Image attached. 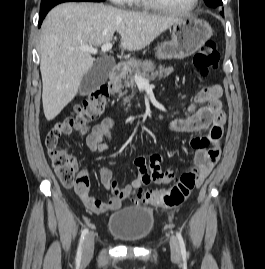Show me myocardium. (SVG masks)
Wrapping results in <instances>:
<instances>
[{
    "instance_id": "obj_1",
    "label": "myocardium",
    "mask_w": 265,
    "mask_h": 269,
    "mask_svg": "<svg viewBox=\"0 0 265 269\" xmlns=\"http://www.w3.org/2000/svg\"><path fill=\"white\" fill-rule=\"evenodd\" d=\"M146 2L150 7L160 11L184 14L193 11L197 7L199 0H193L187 8L172 7L160 0H146Z\"/></svg>"
}]
</instances>
